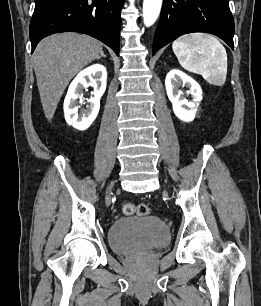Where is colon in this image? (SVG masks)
I'll return each mask as SVG.
<instances>
[{
	"label": "colon",
	"instance_id": "obj_1",
	"mask_svg": "<svg viewBox=\"0 0 261 306\" xmlns=\"http://www.w3.org/2000/svg\"><path fill=\"white\" fill-rule=\"evenodd\" d=\"M122 212L128 216L148 215L150 212V209L145 204H133V203L126 202L122 205Z\"/></svg>",
	"mask_w": 261,
	"mask_h": 306
}]
</instances>
